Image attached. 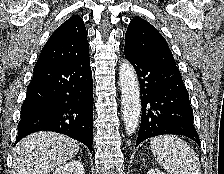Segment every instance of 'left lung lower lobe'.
<instances>
[{
	"label": "left lung lower lobe",
	"instance_id": "1",
	"mask_svg": "<svg viewBox=\"0 0 224 174\" xmlns=\"http://www.w3.org/2000/svg\"><path fill=\"white\" fill-rule=\"evenodd\" d=\"M125 57L134 66L141 89L142 117L135 147L150 137L164 134L187 136L200 145L189 94L176 64L128 51Z\"/></svg>",
	"mask_w": 224,
	"mask_h": 174
}]
</instances>
